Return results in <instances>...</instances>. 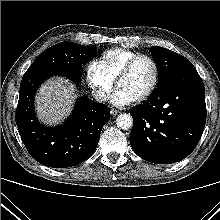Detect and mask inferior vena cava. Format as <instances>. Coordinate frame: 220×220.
<instances>
[{
    "label": "inferior vena cava",
    "instance_id": "602c4592",
    "mask_svg": "<svg viewBox=\"0 0 220 220\" xmlns=\"http://www.w3.org/2000/svg\"><path fill=\"white\" fill-rule=\"evenodd\" d=\"M92 95L96 101L102 102L106 100V93L104 90H95Z\"/></svg>",
    "mask_w": 220,
    "mask_h": 220
}]
</instances>
